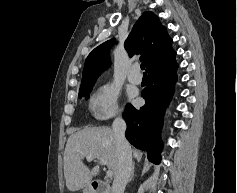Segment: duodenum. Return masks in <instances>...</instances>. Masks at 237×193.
Masks as SVG:
<instances>
[{
	"instance_id": "1",
	"label": "duodenum",
	"mask_w": 237,
	"mask_h": 193,
	"mask_svg": "<svg viewBox=\"0 0 237 193\" xmlns=\"http://www.w3.org/2000/svg\"><path fill=\"white\" fill-rule=\"evenodd\" d=\"M92 193H110V187L105 181L97 180L91 184Z\"/></svg>"
}]
</instances>
